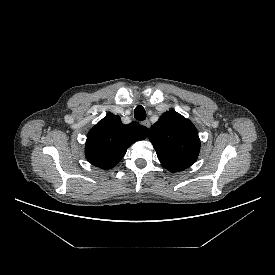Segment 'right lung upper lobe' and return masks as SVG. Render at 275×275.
Returning <instances> with one entry per match:
<instances>
[{"mask_svg":"<svg viewBox=\"0 0 275 275\" xmlns=\"http://www.w3.org/2000/svg\"><path fill=\"white\" fill-rule=\"evenodd\" d=\"M149 129L131 122L124 125L119 116L108 113L88 133L85 155L88 161L101 168H113L134 142L145 139Z\"/></svg>","mask_w":275,"mask_h":275,"instance_id":"obj_1","label":"right lung upper lobe"}]
</instances>
